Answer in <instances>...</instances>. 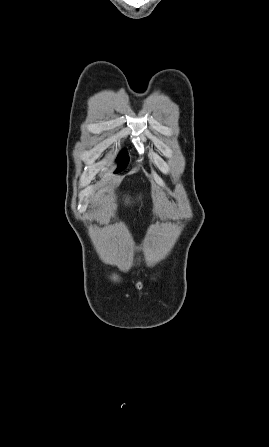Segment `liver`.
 <instances>
[{"instance_id":"obj_1","label":"liver","mask_w":269,"mask_h":447,"mask_svg":"<svg viewBox=\"0 0 269 447\" xmlns=\"http://www.w3.org/2000/svg\"><path fill=\"white\" fill-rule=\"evenodd\" d=\"M103 192H107V190H105V188H102V190H99L98 194H96L95 198L96 200H98V198H100L101 194H103Z\"/></svg>"}]
</instances>
